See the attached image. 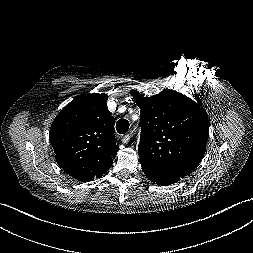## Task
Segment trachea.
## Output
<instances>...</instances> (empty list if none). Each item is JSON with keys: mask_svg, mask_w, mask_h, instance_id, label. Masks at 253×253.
<instances>
[{"mask_svg": "<svg viewBox=\"0 0 253 253\" xmlns=\"http://www.w3.org/2000/svg\"><path fill=\"white\" fill-rule=\"evenodd\" d=\"M129 129V122L126 119H120L116 123V130L119 134H125Z\"/></svg>", "mask_w": 253, "mask_h": 253, "instance_id": "3493384b", "label": "trachea"}]
</instances>
